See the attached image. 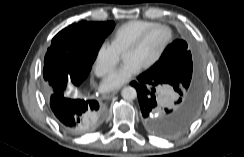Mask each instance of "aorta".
I'll use <instances>...</instances> for the list:
<instances>
[{"instance_id":"aorta-1","label":"aorta","mask_w":244,"mask_h":157,"mask_svg":"<svg viewBox=\"0 0 244 157\" xmlns=\"http://www.w3.org/2000/svg\"><path fill=\"white\" fill-rule=\"evenodd\" d=\"M121 95L125 100L131 101L137 97V92L134 87L126 86L122 89Z\"/></svg>"}]
</instances>
